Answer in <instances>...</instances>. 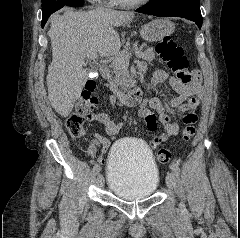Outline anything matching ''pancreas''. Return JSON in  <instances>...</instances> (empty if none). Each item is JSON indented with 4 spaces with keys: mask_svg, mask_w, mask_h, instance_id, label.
<instances>
[{
    "mask_svg": "<svg viewBox=\"0 0 240 238\" xmlns=\"http://www.w3.org/2000/svg\"><path fill=\"white\" fill-rule=\"evenodd\" d=\"M141 58L151 62L155 59V52L153 48H147L144 51L139 50ZM129 52V47H125L121 52L117 53L115 59L111 63L113 69L112 74L106 76L108 83L111 87H121V89H128L130 84V74L128 71V62H117V58H123Z\"/></svg>",
    "mask_w": 240,
    "mask_h": 238,
    "instance_id": "cf45deb5",
    "label": "pancreas"
}]
</instances>
